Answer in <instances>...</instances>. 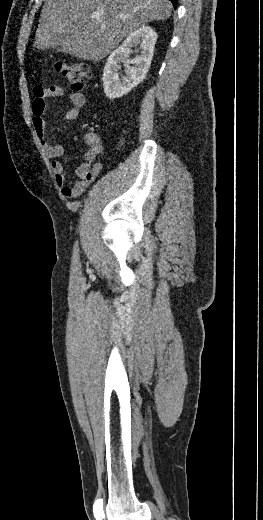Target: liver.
<instances>
[{
	"instance_id": "6515ba94",
	"label": "liver",
	"mask_w": 263,
	"mask_h": 520,
	"mask_svg": "<svg viewBox=\"0 0 263 520\" xmlns=\"http://www.w3.org/2000/svg\"><path fill=\"white\" fill-rule=\"evenodd\" d=\"M171 10L169 0H45L34 45L97 61L140 26L168 19ZM95 13L102 16L92 18Z\"/></svg>"
}]
</instances>
